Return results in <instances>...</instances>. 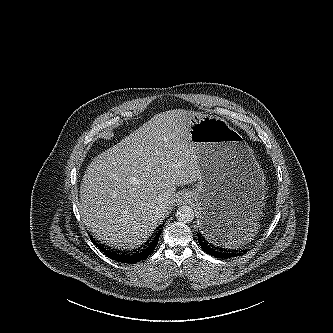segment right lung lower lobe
I'll list each match as a JSON object with an SVG mask.
<instances>
[{"mask_svg": "<svg viewBox=\"0 0 333 333\" xmlns=\"http://www.w3.org/2000/svg\"><path fill=\"white\" fill-rule=\"evenodd\" d=\"M161 234V231H159V233L156 235V237L153 239V241L141 252L135 253V254H131V255H125V254H121L118 252H115L113 250H109L108 248H104L103 246L99 245L98 243L94 244L105 253V255H107L109 258L116 260L118 262H122V263H136L139 262L141 260L146 259L155 249L158 240H159V236ZM93 242V241H92Z\"/></svg>", "mask_w": 333, "mask_h": 333, "instance_id": "98d812e1", "label": "right lung lower lobe"}]
</instances>
